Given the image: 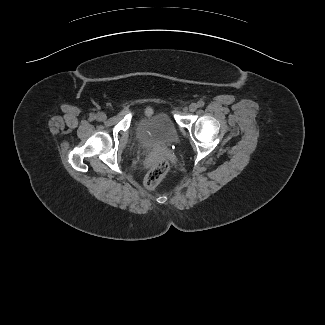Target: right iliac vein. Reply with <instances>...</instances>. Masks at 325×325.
I'll return each mask as SVG.
<instances>
[{
	"label": "right iliac vein",
	"instance_id": "63e3f726",
	"mask_svg": "<svg viewBox=\"0 0 325 325\" xmlns=\"http://www.w3.org/2000/svg\"><path fill=\"white\" fill-rule=\"evenodd\" d=\"M97 119L100 120V121H104L106 119V114L98 113L97 114Z\"/></svg>",
	"mask_w": 325,
	"mask_h": 325
}]
</instances>
